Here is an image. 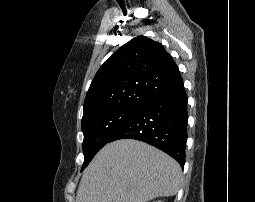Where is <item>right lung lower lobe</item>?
I'll list each match as a JSON object with an SVG mask.
<instances>
[{"label":"right lung lower lobe","mask_w":255,"mask_h":202,"mask_svg":"<svg viewBox=\"0 0 255 202\" xmlns=\"http://www.w3.org/2000/svg\"><path fill=\"white\" fill-rule=\"evenodd\" d=\"M187 121V95L181 86L142 105L109 142L127 138L146 142L172 156L183 167Z\"/></svg>","instance_id":"right-lung-lower-lobe-1"}]
</instances>
